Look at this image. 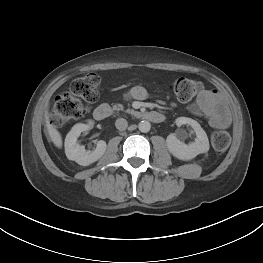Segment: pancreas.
<instances>
[{
    "mask_svg": "<svg viewBox=\"0 0 263 263\" xmlns=\"http://www.w3.org/2000/svg\"><path fill=\"white\" fill-rule=\"evenodd\" d=\"M113 110H123V105L122 104H115L113 105ZM126 112L134 114L135 111L133 109H128Z\"/></svg>",
    "mask_w": 263,
    "mask_h": 263,
    "instance_id": "cf45deb5",
    "label": "pancreas"
}]
</instances>
